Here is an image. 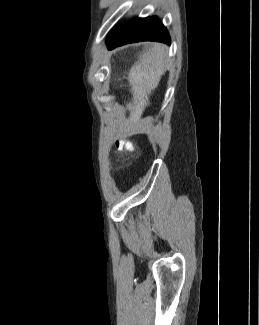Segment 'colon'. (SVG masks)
Returning a JSON list of instances; mask_svg holds the SVG:
<instances>
[{
  "instance_id": "1",
  "label": "colon",
  "mask_w": 259,
  "mask_h": 325,
  "mask_svg": "<svg viewBox=\"0 0 259 325\" xmlns=\"http://www.w3.org/2000/svg\"><path fill=\"white\" fill-rule=\"evenodd\" d=\"M116 147L119 149V150H126V151H133L134 150V146L128 142H125V141H117L116 142Z\"/></svg>"
}]
</instances>
